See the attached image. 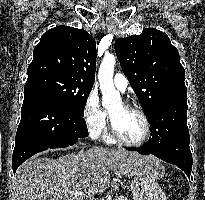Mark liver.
Wrapping results in <instances>:
<instances>
[{"instance_id":"liver-1","label":"liver","mask_w":205,"mask_h":200,"mask_svg":"<svg viewBox=\"0 0 205 200\" xmlns=\"http://www.w3.org/2000/svg\"><path fill=\"white\" fill-rule=\"evenodd\" d=\"M158 163L152 156L103 147L57 159L32 158L17 170L14 200H94L108 188L109 170L129 177L138 173L158 177L153 168Z\"/></svg>"}]
</instances>
